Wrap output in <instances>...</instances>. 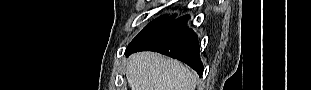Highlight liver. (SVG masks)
Returning <instances> with one entry per match:
<instances>
[{
    "instance_id": "liver-1",
    "label": "liver",
    "mask_w": 311,
    "mask_h": 90,
    "mask_svg": "<svg viewBox=\"0 0 311 90\" xmlns=\"http://www.w3.org/2000/svg\"><path fill=\"white\" fill-rule=\"evenodd\" d=\"M126 78L131 90H194L196 85L187 66L154 52L132 55Z\"/></svg>"
}]
</instances>
